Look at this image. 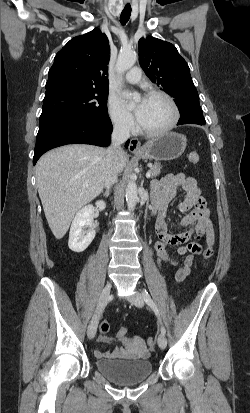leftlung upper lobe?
<instances>
[{"instance_id":"obj_1","label":"left lung upper lobe","mask_w":250,"mask_h":413,"mask_svg":"<svg viewBox=\"0 0 250 413\" xmlns=\"http://www.w3.org/2000/svg\"><path fill=\"white\" fill-rule=\"evenodd\" d=\"M138 46L141 68L153 83L175 98L180 113H203L189 66L176 47L150 36L141 38Z\"/></svg>"}]
</instances>
